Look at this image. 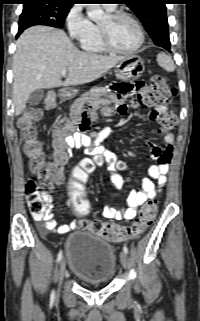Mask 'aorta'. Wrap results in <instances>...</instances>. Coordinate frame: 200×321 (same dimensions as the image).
<instances>
[{"label":"aorta","mask_w":200,"mask_h":321,"mask_svg":"<svg viewBox=\"0 0 200 321\" xmlns=\"http://www.w3.org/2000/svg\"><path fill=\"white\" fill-rule=\"evenodd\" d=\"M87 5V15L93 21L100 20L103 15L104 11L100 4H86Z\"/></svg>","instance_id":"aorta-1"}]
</instances>
